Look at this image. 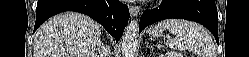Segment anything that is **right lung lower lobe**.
Instances as JSON below:
<instances>
[{"mask_svg": "<svg viewBox=\"0 0 249 57\" xmlns=\"http://www.w3.org/2000/svg\"><path fill=\"white\" fill-rule=\"evenodd\" d=\"M64 11L86 14L118 41L129 20L127 5L116 0H38L34 31L49 17Z\"/></svg>", "mask_w": 249, "mask_h": 57, "instance_id": "right-lung-lower-lobe-1", "label": "right lung lower lobe"}]
</instances>
